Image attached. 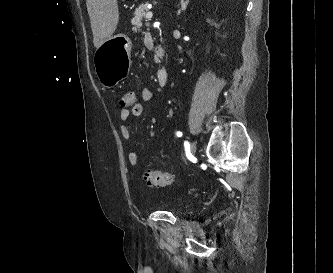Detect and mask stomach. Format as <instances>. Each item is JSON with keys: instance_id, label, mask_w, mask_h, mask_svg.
<instances>
[{"instance_id": "0dacf381", "label": "stomach", "mask_w": 333, "mask_h": 273, "mask_svg": "<svg viewBox=\"0 0 333 273\" xmlns=\"http://www.w3.org/2000/svg\"><path fill=\"white\" fill-rule=\"evenodd\" d=\"M132 48L130 38L122 33L107 39L97 48L94 66L98 81L105 87H113L130 70L129 53Z\"/></svg>"}]
</instances>
